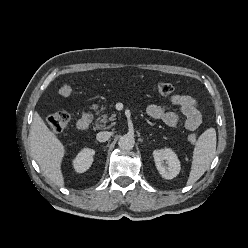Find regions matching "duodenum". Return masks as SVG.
Masks as SVG:
<instances>
[{
    "label": "duodenum",
    "mask_w": 248,
    "mask_h": 248,
    "mask_svg": "<svg viewBox=\"0 0 248 248\" xmlns=\"http://www.w3.org/2000/svg\"><path fill=\"white\" fill-rule=\"evenodd\" d=\"M91 125V117L89 115H83L77 122V128L81 131L87 130Z\"/></svg>",
    "instance_id": "duodenum-1"
}]
</instances>
